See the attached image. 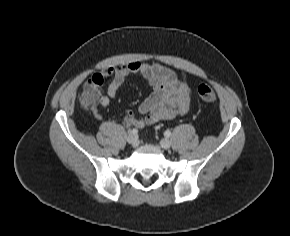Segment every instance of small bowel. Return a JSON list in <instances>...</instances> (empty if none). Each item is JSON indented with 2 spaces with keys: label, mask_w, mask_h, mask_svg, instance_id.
Instances as JSON below:
<instances>
[{
  "label": "small bowel",
  "mask_w": 290,
  "mask_h": 236,
  "mask_svg": "<svg viewBox=\"0 0 290 236\" xmlns=\"http://www.w3.org/2000/svg\"><path fill=\"white\" fill-rule=\"evenodd\" d=\"M132 75H141L148 80L153 86V92L139 106L138 111L144 116L142 119H138L134 112L126 111L124 123L127 126L151 125L188 112L191 91L186 77L157 63L131 62L111 66L94 74L92 79L102 81V84L105 79L111 78L106 93L100 94L98 104L101 107L109 106L111 100L117 97L126 79ZM94 112L96 113L95 109Z\"/></svg>",
  "instance_id": "small-bowel-1"
}]
</instances>
